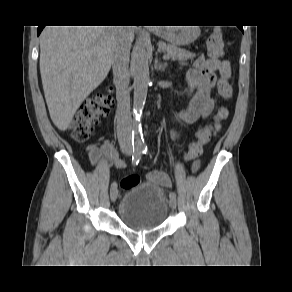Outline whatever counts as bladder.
<instances>
[{
  "label": "bladder",
  "mask_w": 292,
  "mask_h": 292,
  "mask_svg": "<svg viewBox=\"0 0 292 292\" xmlns=\"http://www.w3.org/2000/svg\"><path fill=\"white\" fill-rule=\"evenodd\" d=\"M168 210L164 191L151 182L126 189L119 203L118 216L129 229L149 231L162 226Z\"/></svg>",
  "instance_id": "1"
}]
</instances>
